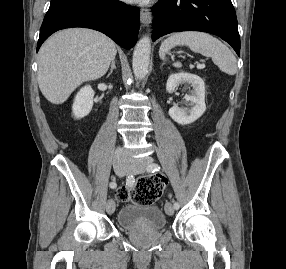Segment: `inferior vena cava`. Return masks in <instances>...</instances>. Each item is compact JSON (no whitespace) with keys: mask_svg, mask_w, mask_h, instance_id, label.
<instances>
[{"mask_svg":"<svg viewBox=\"0 0 286 269\" xmlns=\"http://www.w3.org/2000/svg\"><path fill=\"white\" fill-rule=\"evenodd\" d=\"M127 158V154L126 152L123 150V148H117L116 152H115V159L116 160H126Z\"/></svg>","mask_w":286,"mask_h":269,"instance_id":"1","label":"inferior vena cava"}]
</instances>
